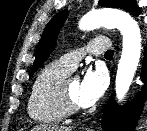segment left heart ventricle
I'll return each mask as SVG.
<instances>
[{"instance_id": "b2bd125f", "label": "left heart ventricle", "mask_w": 147, "mask_h": 131, "mask_svg": "<svg viewBox=\"0 0 147 131\" xmlns=\"http://www.w3.org/2000/svg\"><path fill=\"white\" fill-rule=\"evenodd\" d=\"M79 84L80 82L77 78H71L68 82L69 94L76 103H78Z\"/></svg>"}]
</instances>
